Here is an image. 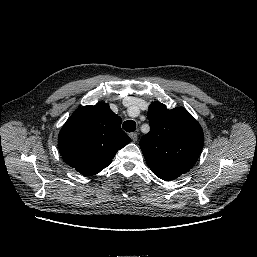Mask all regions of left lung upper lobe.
<instances>
[{
  "instance_id": "1",
  "label": "left lung upper lobe",
  "mask_w": 257,
  "mask_h": 257,
  "mask_svg": "<svg viewBox=\"0 0 257 257\" xmlns=\"http://www.w3.org/2000/svg\"><path fill=\"white\" fill-rule=\"evenodd\" d=\"M150 131L140 140L145 160L157 176L176 179L196 163L204 144L200 124L182 107L149 105Z\"/></svg>"
}]
</instances>
